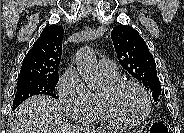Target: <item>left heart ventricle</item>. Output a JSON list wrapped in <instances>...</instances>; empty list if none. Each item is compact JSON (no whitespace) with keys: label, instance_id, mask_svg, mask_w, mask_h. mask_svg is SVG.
<instances>
[{"label":"left heart ventricle","instance_id":"b2bd125f","mask_svg":"<svg viewBox=\"0 0 184 133\" xmlns=\"http://www.w3.org/2000/svg\"><path fill=\"white\" fill-rule=\"evenodd\" d=\"M104 89L101 93L104 92ZM113 106L121 117L137 119L143 115L146 104L142 93L138 89L126 87L115 95L113 98Z\"/></svg>","mask_w":184,"mask_h":133}]
</instances>
